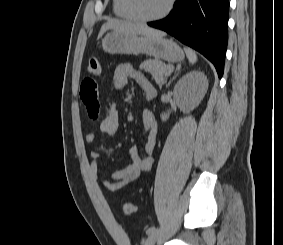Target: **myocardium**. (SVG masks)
<instances>
[{"label":"myocardium","instance_id":"f54148a6","mask_svg":"<svg viewBox=\"0 0 283 245\" xmlns=\"http://www.w3.org/2000/svg\"><path fill=\"white\" fill-rule=\"evenodd\" d=\"M175 1L176 0H168L163 11L151 17H145L142 15H139L134 9L133 0H125V6H126L127 12L134 20H137L140 22H154V21H158V20L165 18L169 14L175 4Z\"/></svg>","mask_w":283,"mask_h":245}]
</instances>
